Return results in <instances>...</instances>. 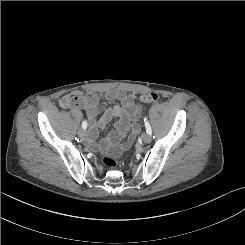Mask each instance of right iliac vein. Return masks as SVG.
<instances>
[{
    "instance_id": "right-iliac-vein-1",
    "label": "right iliac vein",
    "mask_w": 245,
    "mask_h": 245,
    "mask_svg": "<svg viewBox=\"0 0 245 245\" xmlns=\"http://www.w3.org/2000/svg\"><path fill=\"white\" fill-rule=\"evenodd\" d=\"M78 136L81 138L85 136V130L83 128L78 131Z\"/></svg>"
}]
</instances>
